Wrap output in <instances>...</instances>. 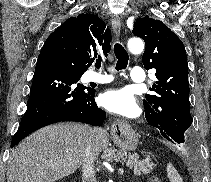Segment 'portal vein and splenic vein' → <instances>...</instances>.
I'll use <instances>...</instances> for the list:
<instances>
[{
    "instance_id": "1",
    "label": "portal vein and splenic vein",
    "mask_w": 211,
    "mask_h": 182,
    "mask_svg": "<svg viewBox=\"0 0 211 182\" xmlns=\"http://www.w3.org/2000/svg\"><path fill=\"white\" fill-rule=\"evenodd\" d=\"M123 172H124L123 168H119V173L123 174Z\"/></svg>"
}]
</instances>
